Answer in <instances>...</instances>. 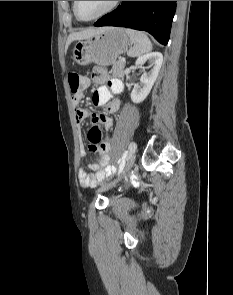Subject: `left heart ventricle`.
Instances as JSON below:
<instances>
[{
    "instance_id": "obj_1",
    "label": "left heart ventricle",
    "mask_w": 233,
    "mask_h": 295,
    "mask_svg": "<svg viewBox=\"0 0 233 295\" xmlns=\"http://www.w3.org/2000/svg\"><path fill=\"white\" fill-rule=\"evenodd\" d=\"M113 1H78V14L85 19L92 18L106 8H108Z\"/></svg>"
}]
</instances>
